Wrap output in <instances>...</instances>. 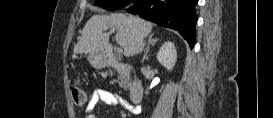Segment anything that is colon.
Wrapping results in <instances>:
<instances>
[{
	"instance_id": "colon-1",
	"label": "colon",
	"mask_w": 273,
	"mask_h": 118,
	"mask_svg": "<svg viewBox=\"0 0 273 118\" xmlns=\"http://www.w3.org/2000/svg\"><path fill=\"white\" fill-rule=\"evenodd\" d=\"M71 95H72V99L74 101V103L76 105L82 106L86 103L87 98H86V93L83 90V88L81 86H79L78 84H75L72 87L71 90Z\"/></svg>"
}]
</instances>
